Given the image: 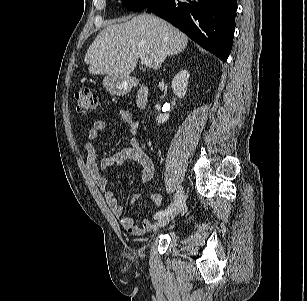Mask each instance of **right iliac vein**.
Segmentation results:
<instances>
[{
  "mask_svg": "<svg viewBox=\"0 0 307 301\" xmlns=\"http://www.w3.org/2000/svg\"><path fill=\"white\" fill-rule=\"evenodd\" d=\"M185 206L186 196L183 195L177 205L171 211H169L168 214L158 220V223L155 227V231L159 230V228L166 226L172 219H174L175 216H177L185 208Z\"/></svg>",
  "mask_w": 307,
  "mask_h": 301,
  "instance_id": "1",
  "label": "right iliac vein"
}]
</instances>
